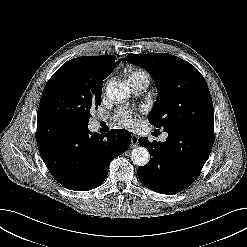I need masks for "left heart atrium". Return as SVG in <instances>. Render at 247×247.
Returning a JSON list of instances; mask_svg holds the SVG:
<instances>
[{
  "instance_id": "left-heart-atrium-1",
  "label": "left heart atrium",
  "mask_w": 247,
  "mask_h": 247,
  "mask_svg": "<svg viewBox=\"0 0 247 247\" xmlns=\"http://www.w3.org/2000/svg\"><path fill=\"white\" fill-rule=\"evenodd\" d=\"M117 121L120 125L125 127H133L135 125V119L132 111L124 110L117 115Z\"/></svg>"
}]
</instances>
